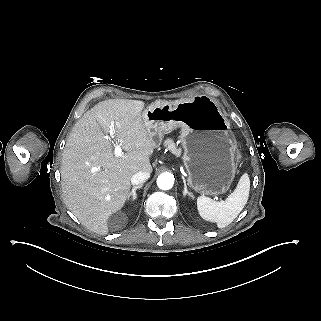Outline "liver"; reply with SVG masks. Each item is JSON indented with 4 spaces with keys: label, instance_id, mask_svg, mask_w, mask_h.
<instances>
[{
    "label": "liver",
    "instance_id": "obj_1",
    "mask_svg": "<svg viewBox=\"0 0 321 321\" xmlns=\"http://www.w3.org/2000/svg\"><path fill=\"white\" fill-rule=\"evenodd\" d=\"M145 102L109 99L97 103L75 124L63 151L64 201L89 230L107 235L111 216L125 206L136 172H153L155 141L145 125ZM113 132L126 151L114 153Z\"/></svg>",
    "mask_w": 321,
    "mask_h": 321
}]
</instances>
